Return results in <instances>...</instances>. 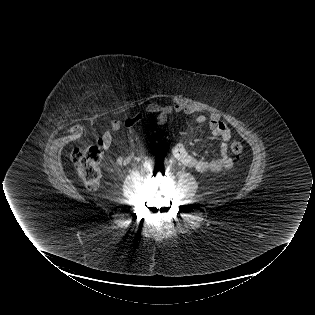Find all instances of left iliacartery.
<instances>
[{"label":"left iliac artery","mask_w":315,"mask_h":315,"mask_svg":"<svg viewBox=\"0 0 315 315\" xmlns=\"http://www.w3.org/2000/svg\"><path fill=\"white\" fill-rule=\"evenodd\" d=\"M166 163V160H163V164H165Z\"/></svg>","instance_id":"left-iliac-artery-1"}]
</instances>
